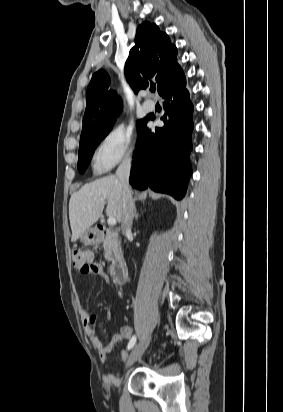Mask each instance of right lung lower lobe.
Segmentation results:
<instances>
[{
	"mask_svg": "<svg viewBox=\"0 0 283 412\" xmlns=\"http://www.w3.org/2000/svg\"><path fill=\"white\" fill-rule=\"evenodd\" d=\"M186 78L176 86H167L160 94L165 113L162 128L149 130L146 124L154 117L144 118L138 130L134 166L130 183L136 189L148 186L156 192L182 199L192 174L189 161L193 131V104L189 99Z\"/></svg>",
	"mask_w": 283,
	"mask_h": 412,
	"instance_id": "1",
	"label": "right lung lower lobe"
}]
</instances>
